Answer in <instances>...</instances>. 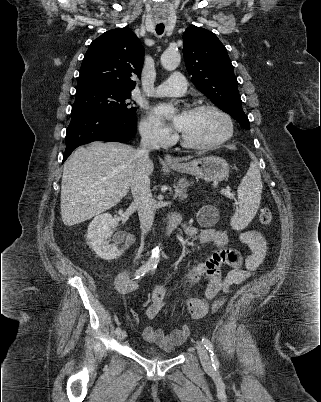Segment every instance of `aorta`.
I'll use <instances>...</instances> for the list:
<instances>
[{
  "label": "aorta",
  "mask_w": 321,
  "mask_h": 402,
  "mask_svg": "<svg viewBox=\"0 0 321 402\" xmlns=\"http://www.w3.org/2000/svg\"><path fill=\"white\" fill-rule=\"evenodd\" d=\"M180 60V54L175 50H166L161 55V64L166 70L169 71L175 70L180 63ZM160 251L161 249L159 247H156L152 250L151 256L147 262V265L150 267V269H155L157 267L160 258Z\"/></svg>",
  "instance_id": "obj_1"
}]
</instances>
